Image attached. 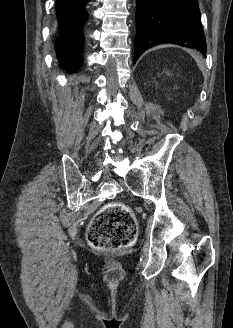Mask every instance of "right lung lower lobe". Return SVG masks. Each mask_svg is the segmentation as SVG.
Segmentation results:
<instances>
[{"label":"right lung lower lobe","mask_w":233,"mask_h":328,"mask_svg":"<svg viewBox=\"0 0 233 328\" xmlns=\"http://www.w3.org/2000/svg\"><path fill=\"white\" fill-rule=\"evenodd\" d=\"M89 0H57L56 13L59 36L56 41V55L63 69L74 70L82 63L84 43L83 25L88 14L85 4Z\"/></svg>","instance_id":"obj_1"}]
</instances>
